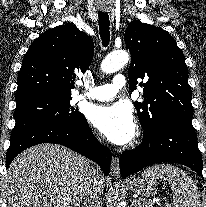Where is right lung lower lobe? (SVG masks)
<instances>
[{"instance_id": "1", "label": "right lung lower lobe", "mask_w": 206, "mask_h": 207, "mask_svg": "<svg viewBox=\"0 0 206 207\" xmlns=\"http://www.w3.org/2000/svg\"><path fill=\"white\" fill-rule=\"evenodd\" d=\"M40 143H56L66 146L95 161L105 175L109 174L111 151L98 142L86 119L76 125L44 123L12 133L6 156V168L20 152Z\"/></svg>"}]
</instances>
